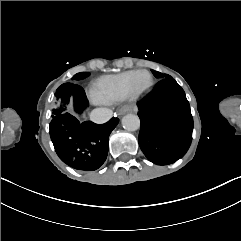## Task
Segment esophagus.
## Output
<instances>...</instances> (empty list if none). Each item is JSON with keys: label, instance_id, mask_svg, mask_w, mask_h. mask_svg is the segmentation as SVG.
<instances>
[{"label": "esophagus", "instance_id": "obj_1", "mask_svg": "<svg viewBox=\"0 0 241 241\" xmlns=\"http://www.w3.org/2000/svg\"><path fill=\"white\" fill-rule=\"evenodd\" d=\"M134 110L133 105H126L119 109L118 115H124L127 112H132Z\"/></svg>", "mask_w": 241, "mask_h": 241}]
</instances>
